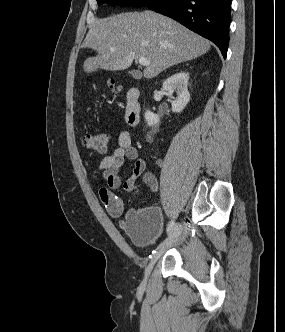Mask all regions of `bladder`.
<instances>
[{"instance_id":"bladder-1","label":"bladder","mask_w":285,"mask_h":332,"mask_svg":"<svg viewBox=\"0 0 285 332\" xmlns=\"http://www.w3.org/2000/svg\"><path fill=\"white\" fill-rule=\"evenodd\" d=\"M162 227L161 212L155 206H146L132 210L126 215L124 220L125 232L132 243L140 248L153 247L158 241ZM160 245H158L156 250H158Z\"/></svg>"}]
</instances>
